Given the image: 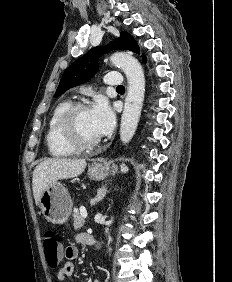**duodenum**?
I'll return each instance as SVG.
<instances>
[{
	"mask_svg": "<svg viewBox=\"0 0 232 282\" xmlns=\"http://www.w3.org/2000/svg\"><path fill=\"white\" fill-rule=\"evenodd\" d=\"M87 244H89V245H94V244H95L94 238L89 237V238H88V241H87Z\"/></svg>",
	"mask_w": 232,
	"mask_h": 282,
	"instance_id": "obj_1",
	"label": "duodenum"
}]
</instances>
